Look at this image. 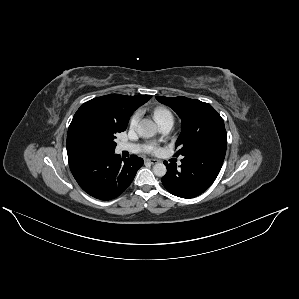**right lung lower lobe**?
Masks as SVG:
<instances>
[{
  "instance_id": "98d812e1",
  "label": "right lung lower lobe",
  "mask_w": 299,
  "mask_h": 299,
  "mask_svg": "<svg viewBox=\"0 0 299 299\" xmlns=\"http://www.w3.org/2000/svg\"><path fill=\"white\" fill-rule=\"evenodd\" d=\"M70 170L89 195L110 200L119 196L132 182L143 165L136 155L121 159L114 150L83 149L68 154Z\"/></svg>"
}]
</instances>
